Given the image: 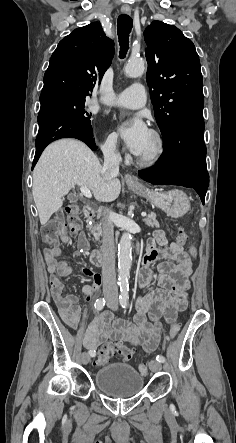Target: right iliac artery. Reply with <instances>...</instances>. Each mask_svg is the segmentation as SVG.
<instances>
[{"label":"right iliac artery","instance_id":"82829eb1","mask_svg":"<svg viewBox=\"0 0 236 443\" xmlns=\"http://www.w3.org/2000/svg\"><path fill=\"white\" fill-rule=\"evenodd\" d=\"M104 305H105V299H104V298H99V299H97L96 302H95V304H94L95 309H96L97 311L102 310L103 307H104ZM89 354H90L92 357H94V356H95V351H91V350H90V351H89Z\"/></svg>","mask_w":236,"mask_h":443}]
</instances>
